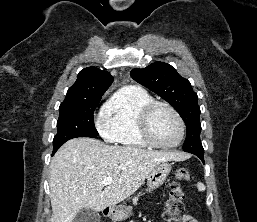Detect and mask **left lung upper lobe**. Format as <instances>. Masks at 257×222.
<instances>
[{
  "mask_svg": "<svg viewBox=\"0 0 257 222\" xmlns=\"http://www.w3.org/2000/svg\"><path fill=\"white\" fill-rule=\"evenodd\" d=\"M131 77L171 104L180 114L187 127L183 150L203 154L198 96L190 82L164 62H155L143 69L135 68L131 71Z\"/></svg>",
  "mask_w": 257,
  "mask_h": 222,
  "instance_id": "obj_1",
  "label": "left lung upper lobe"
}]
</instances>
